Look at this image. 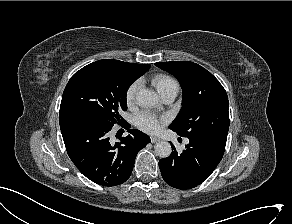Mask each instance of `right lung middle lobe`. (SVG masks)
I'll use <instances>...</instances> for the list:
<instances>
[{
  "label": "right lung middle lobe",
  "mask_w": 292,
  "mask_h": 224,
  "mask_svg": "<svg viewBox=\"0 0 292 224\" xmlns=\"http://www.w3.org/2000/svg\"><path fill=\"white\" fill-rule=\"evenodd\" d=\"M138 78L126 62L99 60L77 71L64 90L59 118L79 115L102 126L123 124L126 94Z\"/></svg>",
  "instance_id": "dd1d6c3e"
}]
</instances>
